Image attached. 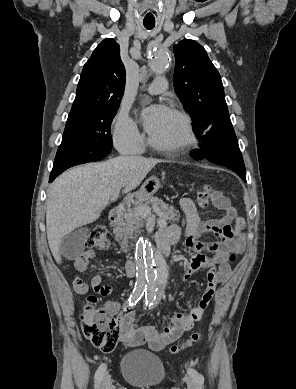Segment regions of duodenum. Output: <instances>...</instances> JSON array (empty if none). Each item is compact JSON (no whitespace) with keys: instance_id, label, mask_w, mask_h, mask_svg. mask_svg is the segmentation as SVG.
Segmentation results:
<instances>
[{"instance_id":"duodenum-1","label":"duodenum","mask_w":296,"mask_h":389,"mask_svg":"<svg viewBox=\"0 0 296 389\" xmlns=\"http://www.w3.org/2000/svg\"><path fill=\"white\" fill-rule=\"evenodd\" d=\"M122 211H123L122 207H116V208L111 210V212L109 214V221H110V224L112 226H115L118 224V222L120 221V218L122 216ZM173 243H174V240L172 238L165 237V236L157 237V244H158L159 253L162 256H167L170 252V246ZM125 271H126V275L128 277H130V278L134 277L136 275L135 262L128 261L125 264Z\"/></svg>"}]
</instances>
